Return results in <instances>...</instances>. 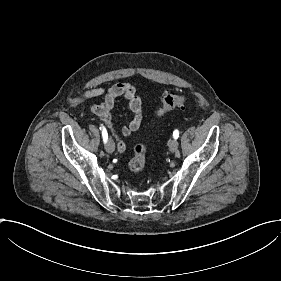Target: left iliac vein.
I'll return each mask as SVG.
<instances>
[{"label": "left iliac vein", "mask_w": 281, "mask_h": 281, "mask_svg": "<svg viewBox=\"0 0 281 281\" xmlns=\"http://www.w3.org/2000/svg\"><path fill=\"white\" fill-rule=\"evenodd\" d=\"M168 146L171 151H176L179 146L178 140L176 138H173L171 141H169Z\"/></svg>", "instance_id": "1"}]
</instances>
